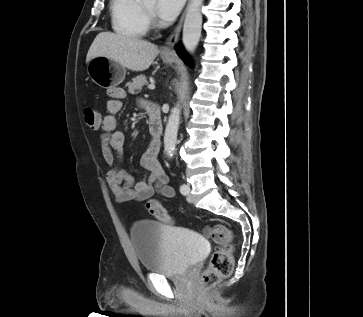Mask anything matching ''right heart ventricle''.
<instances>
[{
  "label": "right heart ventricle",
  "instance_id": "obj_1",
  "mask_svg": "<svg viewBox=\"0 0 363 317\" xmlns=\"http://www.w3.org/2000/svg\"><path fill=\"white\" fill-rule=\"evenodd\" d=\"M113 30L120 36L142 38L148 32V21L140 0H111Z\"/></svg>",
  "mask_w": 363,
  "mask_h": 317
}]
</instances>
